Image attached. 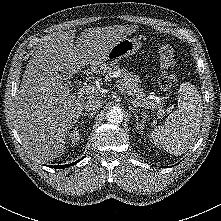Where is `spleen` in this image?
Here are the masks:
<instances>
[{"mask_svg": "<svg viewBox=\"0 0 221 221\" xmlns=\"http://www.w3.org/2000/svg\"><path fill=\"white\" fill-rule=\"evenodd\" d=\"M203 105L199 91L189 82L180 85L178 106L164 125L150 134L154 144L174 155L185 153L195 141L201 126Z\"/></svg>", "mask_w": 221, "mask_h": 221, "instance_id": "spleen-1", "label": "spleen"}]
</instances>
